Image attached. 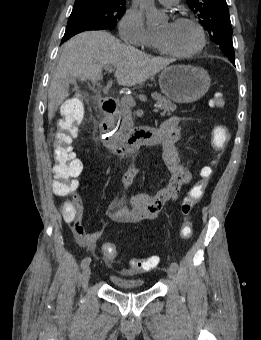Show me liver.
<instances>
[{
	"label": "liver",
	"instance_id": "liver-1",
	"mask_svg": "<svg viewBox=\"0 0 261 340\" xmlns=\"http://www.w3.org/2000/svg\"><path fill=\"white\" fill-rule=\"evenodd\" d=\"M171 62L124 45L106 31L80 33L64 44L48 91V118L52 120L56 108L69 95V84L77 78L102 80V69L109 65L115 67L119 85L134 86L153 77Z\"/></svg>",
	"mask_w": 261,
	"mask_h": 340
}]
</instances>
